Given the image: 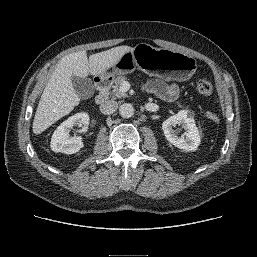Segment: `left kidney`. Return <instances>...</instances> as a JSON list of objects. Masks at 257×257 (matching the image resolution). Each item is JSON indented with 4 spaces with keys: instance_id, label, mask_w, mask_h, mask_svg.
I'll return each mask as SVG.
<instances>
[{
    "instance_id": "5707ae66",
    "label": "left kidney",
    "mask_w": 257,
    "mask_h": 257,
    "mask_svg": "<svg viewBox=\"0 0 257 257\" xmlns=\"http://www.w3.org/2000/svg\"><path fill=\"white\" fill-rule=\"evenodd\" d=\"M176 125H181L185 131L181 137H178L176 131L173 130ZM162 129L166 139L184 151H195L200 144L199 131L191 111L181 110L170 116L162 123Z\"/></svg>"
}]
</instances>
